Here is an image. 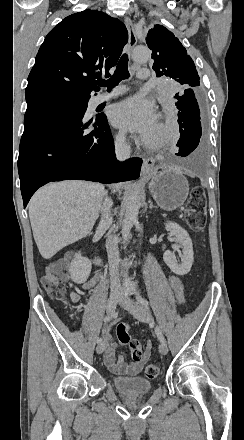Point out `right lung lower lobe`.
I'll return each instance as SVG.
<instances>
[{"label": "right lung lower lobe", "instance_id": "98d812e1", "mask_svg": "<svg viewBox=\"0 0 244 440\" xmlns=\"http://www.w3.org/2000/svg\"><path fill=\"white\" fill-rule=\"evenodd\" d=\"M85 111L46 104L27 106L18 158L24 208L34 192L51 181L108 184L139 177L142 159L118 162L106 116L85 122Z\"/></svg>", "mask_w": 244, "mask_h": 440}]
</instances>
